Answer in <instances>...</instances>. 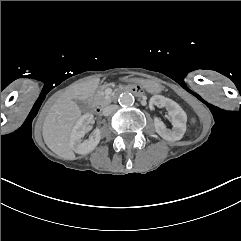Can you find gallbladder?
<instances>
[{"instance_id":"gallbladder-1","label":"gallbladder","mask_w":241,"mask_h":241,"mask_svg":"<svg viewBox=\"0 0 241 241\" xmlns=\"http://www.w3.org/2000/svg\"><path fill=\"white\" fill-rule=\"evenodd\" d=\"M77 104L79 105V107L83 110L86 111L88 109V103L84 102V101H77Z\"/></svg>"}]
</instances>
